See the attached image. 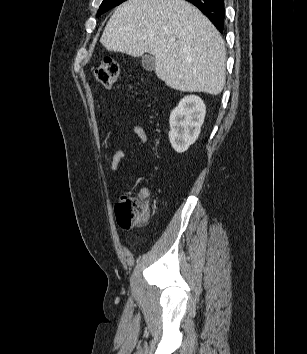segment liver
Returning <instances> with one entry per match:
<instances>
[{"label":"liver","mask_w":307,"mask_h":354,"mask_svg":"<svg viewBox=\"0 0 307 354\" xmlns=\"http://www.w3.org/2000/svg\"><path fill=\"white\" fill-rule=\"evenodd\" d=\"M100 42L133 57L148 52L169 87L218 95L225 85L226 52L217 29L184 0H128L116 8Z\"/></svg>","instance_id":"liver-1"}]
</instances>
